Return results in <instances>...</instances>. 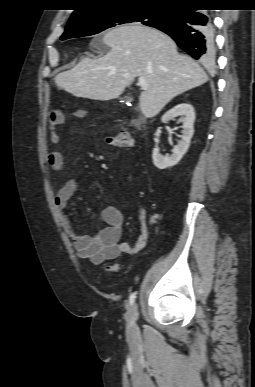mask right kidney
Returning <instances> with one entry per match:
<instances>
[{"instance_id":"1","label":"right kidney","mask_w":255,"mask_h":387,"mask_svg":"<svg viewBox=\"0 0 255 387\" xmlns=\"http://www.w3.org/2000/svg\"><path fill=\"white\" fill-rule=\"evenodd\" d=\"M178 116L180 117L178 122H181L183 124V131L181 140L173 148V153L171 155L163 156L162 154H160L158 148L153 149V163L159 169H165L167 167H172L176 165L182 159V157L187 152L190 146V141L194 133V108L192 107V105L187 103L176 105L163 115L161 121L163 123H167L168 121L173 120L175 117Z\"/></svg>"}]
</instances>
